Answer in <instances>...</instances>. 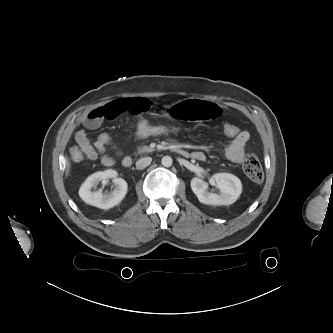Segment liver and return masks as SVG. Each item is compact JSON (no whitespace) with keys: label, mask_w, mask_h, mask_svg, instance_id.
<instances>
[{"label":"liver","mask_w":333,"mask_h":333,"mask_svg":"<svg viewBox=\"0 0 333 333\" xmlns=\"http://www.w3.org/2000/svg\"><path fill=\"white\" fill-rule=\"evenodd\" d=\"M69 170H70V163H69V161L67 160V162H66V174L68 175V173H69Z\"/></svg>","instance_id":"liver-1"}]
</instances>
